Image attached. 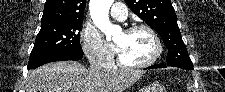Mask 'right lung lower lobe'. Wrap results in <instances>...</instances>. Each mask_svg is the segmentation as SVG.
Listing matches in <instances>:
<instances>
[{
	"label": "right lung lower lobe",
	"instance_id": "right-lung-lower-lobe-1",
	"mask_svg": "<svg viewBox=\"0 0 225 92\" xmlns=\"http://www.w3.org/2000/svg\"><path fill=\"white\" fill-rule=\"evenodd\" d=\"M83 57V50H67L57 53L46 54L43 56L31 58L28 62L27 69H35L43 64L53 61L74 60L77 61Z\"/></svg>",
	"mask_w": 225,
	"mask_h": 92
}]
</instances>
